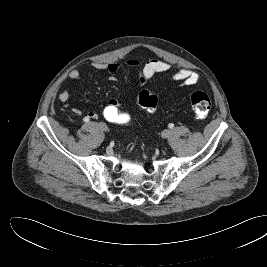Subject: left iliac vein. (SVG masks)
Here are the masks:
<instances>
[{"label":"left iliac vein","instance_id":"obj_1","mask_svg":"<svg viewBox=\"0 0 267 267\" xmlns=\"http://www.w3.org/2000/svg\"><path fill=\"white\" fill-rule=\"evenodd\" d=\"M170 135H171V130H169V129H166L162 132L163 138H168V137H170Z\"/></svg>","mask_w":267,"mask_h":267}]
</instances>
